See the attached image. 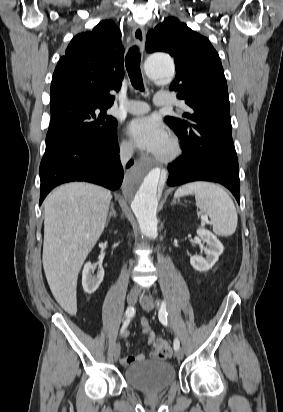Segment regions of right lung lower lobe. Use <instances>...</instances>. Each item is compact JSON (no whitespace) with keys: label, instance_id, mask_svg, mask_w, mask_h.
Returning <instances> with one entry per match:
<instances>
[{"label":"right lung lower lobe","instance_id":"right-lung-lower-lobe-1","mask_svg":"<svg viewBox=\"0 0 283 412\" xmlns=\"http://www.w3.org/2000/svg\"><path fill=\"white\" fill-rule=\"evenodd\" d=\"M132 164L130 160L127 167ZM39 173L40 204L54 187L70 181H87L116 190L123 180L117 130L98 139L78 135L53 143L46 147Z\"/></svg>","mask_w":283,"mask_h":412}]
</instances>
